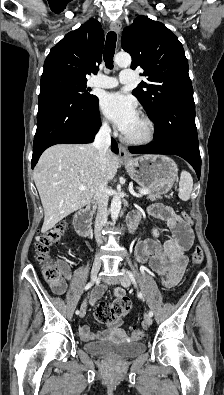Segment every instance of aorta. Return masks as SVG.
<instances>
[{"label": "aorta", "instance_id": "762f6f07", "mask_svg": "<svg viewBox=\"0 0 224 395\" xmlns=\"http://www.w3.org/2000/svg\"><path fill=\"white\" fill-rule=\"evenodd\" d=\"M119 67H128L131 64V56L128 53H118L114 59ZM121 210V198L115 195L111 201L110 214L113 221L117 220Z\"/></svg>", "mask_w": 224, "mask_h": 395}]
</instances>
